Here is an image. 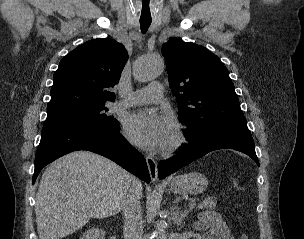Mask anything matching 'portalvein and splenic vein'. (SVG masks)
Wrapping results in <instances>:
<instances>
[{"label":"portal vein and splenic vein","instance_id":"1","mask_svg":"<svg viewBox=\"0 0 304 239\" xmlns=\"http://www.w3.org/2000/svg\"><path fill=\"white\" fill-rule=\"evenodd\" d=\"M196 206V202L192 201L191 204L189 205L190 209H193Z\"/></svg>","mask_w":304,"mask_h":239}]
</instances>
